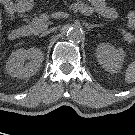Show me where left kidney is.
I'll list each match as a JSON object with an SVG mask.
<instances>
[{"mask_svg": "<svg viewBox=\"0 0 135 135\" xmlns=\"http://www.w3.org/2000/svg\"><path fill=\"white\" fill-rule=\"evenodd\" d=\"M97 59L102 67L111 73H116L121 69L125 52L122 48L116 49L114 46L102 43L98 45Z\"/></svg>", "mask_w": 135, "mask_h": 135, "instance_id": "obj_1", "label": "left kidney"}]
</instances>
